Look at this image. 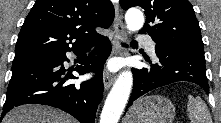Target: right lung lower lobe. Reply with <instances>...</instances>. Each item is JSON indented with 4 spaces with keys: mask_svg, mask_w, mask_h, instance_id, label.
Listing matches in <instances>:
<instances>
[{
    "mask_svg": "<svg viewBox=\"0 0 221 123\" xmlns=\"http://www.w3.org/2000/svg\"><path fill=\"white\" fill-rule=\"evenodd\" d=\"M96 45L88 57L80 61L75 70L79 74L95 71L96 75L80 85L69 84L75 79L66 74L62 63L68 61L65 53L57 57H43L12 65V77L7 90L3 111L23 104H43L59 108L81 123H94L98 104L103 98L102 71L111 50V43L102 36L82 49L73 50L82 55Z\"/></svg>",
    "mask_w": 221,
    "mask_h": 123,
    "instance_id": "right-lung-lower-lobe-1",
    "label": "right lung lower lobe"
}]
</instances>
